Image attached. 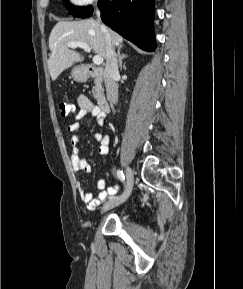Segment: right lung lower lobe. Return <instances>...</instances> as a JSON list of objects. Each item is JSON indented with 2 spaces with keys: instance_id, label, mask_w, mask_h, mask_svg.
I'll use <instances>...</instances> for the list:
<instances>
[{
  "instance_id": "1",
  "label": "right lung lower lobe",
  "mask_w": 243,
  "mask_h": 289,
  "mask_svg": "<svg viewBox=\"0 0 243 289\" xmlns=\"http://www.w3.org/2000/svg\"><path fill=\"white\" fill-rule=\"evenodd\" d=\"M102 21L145 51H154V0H98ZM93 7H81L74 17L86 18Z\"/></svg>"
}]
</instances>
